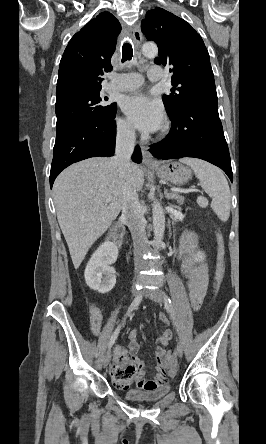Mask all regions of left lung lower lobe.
I'll return each mask as SVG.
<instances>
[{
  "label": "left lung lower lobe",
  "instance_id": "0a47b994",
  "mask_svg": "<svg viewBox=\"0 0 266 444\" xmlns=\"http://www.w3.org/2000/svg\"><path fill=\"white\" fill-rule=\"evenodd\" d=\"M168 137L150 148L157 159L195 157L220 167L233 181L231 160L218 114V101H199L174 116Z\"/></svg>",
  "mask_w": 266,
  "mask_h": 444
}]
</instances>
